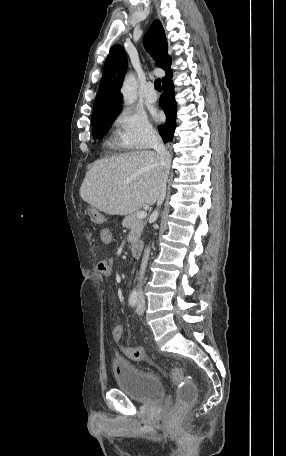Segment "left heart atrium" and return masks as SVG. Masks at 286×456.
<instances>
[{
	"label": "left heart atrium",
	"mask_w": 286,
	"mask_h": 456,
	"mask_svg": "<svg viewBox=\"0 0 286 456\" xmlns=\"http://www.w3.org/2000/svg\"><path fill=\"white\" fill-rule=\"evenodd\" d=\"M153 116H154L155 119H159L160 118V115L157 112H154Z\"/></svg>",
	"instance_id": "1"
}]
</instances>
